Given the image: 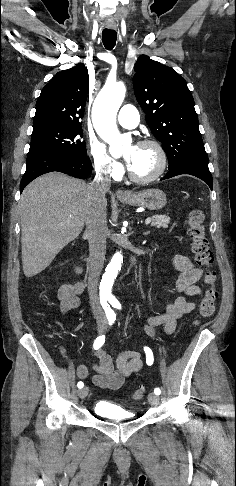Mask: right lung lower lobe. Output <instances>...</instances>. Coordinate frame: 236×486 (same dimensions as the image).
I'll use <instances>...</instances> for the list:
<instances>
[{
    "instance_id": "98d812e1",
    "label": "right lung lower lobe",
    "mask_w": 236,
    "mask_h": 486,
    "mask_svg": "<svg viewBox=\"0 0 236 486\" xmlns=\"http://www.w3.org/2000/svg\"><path fill=\"white\" fill-rule=\"evenodd\" d=\"M52 171L85 179L92 171V164L88 156L47 152L29 154L27 157L26 172L20 183V192L36 177Z\"/></svg>"
}]
</instances>
